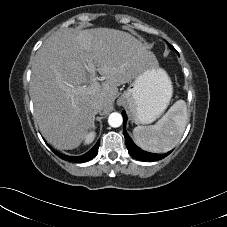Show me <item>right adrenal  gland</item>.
I'll list each match as a JSON object with an SVG mask.
<instances>
[{"label": "right adrenal gland", "mask_w": 227, "mask_h": 227, "mask_svg": "<svg viewBox=\"0 0 227 227\" xmlns=\"http://www.w3.org/2000/svg\"><path fill=\"white\" fill-rule=\"evenodd\" d=\"M97 114V112H95V115ZM95 115H94V119H93V130H95V124H94V121H95Z\"/></svg>", "instance_id": "obj_1"}]
</instances>
